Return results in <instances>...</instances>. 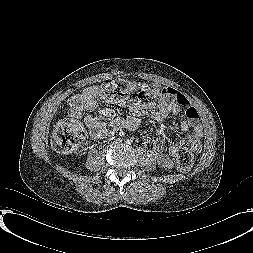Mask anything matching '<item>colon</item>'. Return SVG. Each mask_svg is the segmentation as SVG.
<instances>
[{"instance_id": "5ec220e1", "label": "colon", "mask_w": 253, "mask_h": 253, "mask_svg": "<svg viewBox=\"0 0 253 253\" xmlns=\"http://www.w3.org/2000/svg\"><path fill=\"white\" fill-rule=\"evenodd\" d=\"M101 99L121 105L145 108L159 103L165 98V92L141 83H129L123 80L111 81L98 87ZM85 132L76 120H64L55 129L52 145L62 154L75 152L84 142ZM177 166L188 170L193 165V155L188 149H180L176 155Z\"/></svg>"}]
</instances>
